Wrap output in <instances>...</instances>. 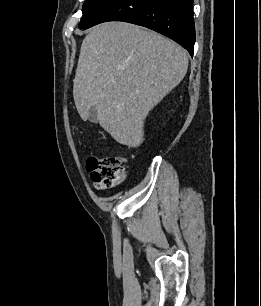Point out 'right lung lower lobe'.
<instances>
[{
  "instance_id": "98d812e1",
  "label": "right lung lower lobe",
  "mask_w": 261,
  "mask_h": 306,
  "mask_svg": "<svg viewBox=\"0 0 261 306\" xmlns=\"http://www.w3.org/2000/svg\"><path fill=\"white\" fill-rule=\"evenodd\" d=\"M107 21L147 27L181 44L193 55V0H114L84 29Z\"/></svg>"
}]
</instances>
